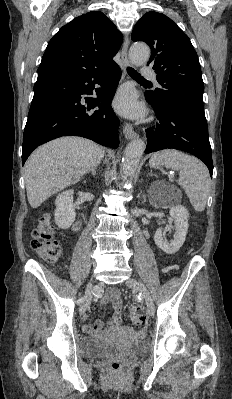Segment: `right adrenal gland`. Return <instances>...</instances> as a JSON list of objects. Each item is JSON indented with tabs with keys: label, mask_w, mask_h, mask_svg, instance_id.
Wrapping results in <instances>:
<instances>
[{
	"label": "right adrenal gland",
	"mask_w": 232,
	"mask_h": 399,
	"mask_svg": "<svg viewBox=\"0 0 232 399\" xmlns=\"http://www.w3.org/2000/svg\"><path fill=\"white\" fill-rule=\"evenodd\" d=\"M96 170H97V166H93V168H90V170H88V172H86V174H89V172H92V176H96Z\"/></svg>",
	"instance_id": "right-adrenal-gland-1"
}]
</instances>
